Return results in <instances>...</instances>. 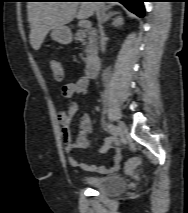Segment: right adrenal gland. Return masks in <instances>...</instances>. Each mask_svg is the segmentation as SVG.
<instances>
[{
    "mask_svg": "<svg viewBox=\"0 0 188 213\" xmlns=\"http://www.w3.org/2000/svg\"><path fill=\"white\" fill-rule=\"evenodd\" d=\"M119 14L118 12H114V11H101L100 17H101V22L104 23L106 22L108 19H110L112 16H115Z\"/></svg>",
    "mask_w": 188,
    "mask_h": 213,
    "instance_id": "obj_1",
    "label": "right adrenal gland"
}]
</instances>
